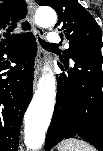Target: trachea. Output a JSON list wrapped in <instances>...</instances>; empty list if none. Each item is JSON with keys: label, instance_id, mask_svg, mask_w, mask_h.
<instances>
[{"label": "trachea", "instance_id": "1", "mask_svg": "<svg viewBox=\"0 0 103 151\" xmlns=\"http://www.w3.org/2000/svg\"><path fill=\"white\" fill-rule=\"evenodd\" d=\"M22 27H23L24 30H29V29H30V24H29L28 22H24V23L22 24ZM38 40H39L40 44H41L45 49L51 48V47H54V46H55V45H53V44H51V43H48V42H46V41H44V40H42V39H40V38H38Z\"/></svg>", "mask_w": 103, "mask_h": 151}]
</instances>
